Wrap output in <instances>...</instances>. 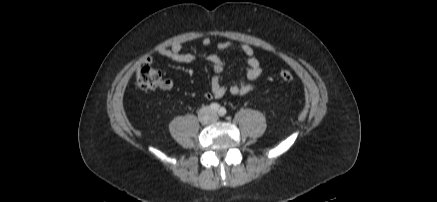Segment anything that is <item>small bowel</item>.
<instances>
[{"label": "small bowel", "instance_id": "1", "mask_svg": "<svg viewBox=\"0 0 437 202\" xmlns=\"http://www.w3.org/2000/svg\"><path fill=\"white\" fill-rule=\"evenodd\" d=\"M211 44L210 37H204L201 41L203 47ZM235 46V41L227 40L218 43V50L225 52ZM240 50L246 55V71L245 79H242L230 86L222 83L223 72L226 67V62L217 54L211 53L205 55V59L211 63L215 75L211 79L210 91L204 94L208 100L222 98L226 94L244 95L254 89L253 81H255L263 71L262 64L258 57L255 56L254 48L247 44L241 43ZM183 43L175 42L169 47H160L157 53L177 63H191L198 59V55L194 53H185L182 51ZM150 60V59H149ZM173 82L170 79H164L162 89H170Z\"/></svg>", "mask_w": 437, "mask_h": 202}]
</instances>
